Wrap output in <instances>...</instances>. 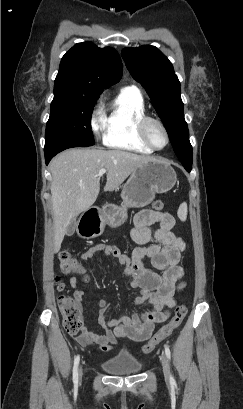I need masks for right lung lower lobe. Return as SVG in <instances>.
I'll return each mask as SVG.
<instances>
[{
    "instance_id": "obj_1",
    "label": "right lung lower lobe",
    "mask_w": 243,
    "mask_h": 409,
    "mask_svg": "<svg viewBox=\"0 0 243 409\" xmlns=\"http://www.w3.org/2000/svg\"><path fill=\"white\" fill-rule=\"evenodd\" d=\"M71 147H80V146H78L77 144H71L67 142H57V143L51 144L50 146H46L44 148L46 164H48L49 161L52 159V157H54L57 153L67 148H71Z\"/></svg>"
}]
</instances>
